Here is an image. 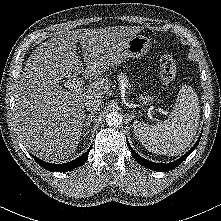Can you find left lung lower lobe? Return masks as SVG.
<instances>
[{
    "instance_id": "obj_1",
    "label": "left lung lower lobe",
    "mask_w": 221,
    "mask_h": 221,
    "mask_svg": "<svg viewBox=\"0 0 221 221\" xmlns=\"http://www.w3.org/2000/svg\"><path fill=\"white\" fill-rule=\"evenodd\" d=\"M201 137V136H200ZM199 139L197 140V142L195 143V145L184 155L182 156L180 159L171 162V163H155L149 160H146L144 158H142L140 155H138L136 152H134V150L131 148V146L128 143L130 152L132 153L133 158L140 163L141 165L153 170V171H169V170H173L174 168H176L180 163H182V161H184L193 151L194 149L197 147L198 143H199Z\"/></svg>"
}]
</instances>
